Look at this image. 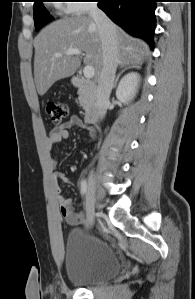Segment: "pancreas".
I'll use <instances>...</instances> for the list:
<instances>
[{"instance_id": "1", "label": "pancreas", "mask_w": 195, "mask_h": 299, "mask_svg": "<svg viewBox=\"0 0 195 299\" xmlns=\"http://www.w3.org/2000/svg\"><path fill=\"white\" fill-rule=\"evenodd\" d=\"M78 95H79L80 106L84 110H87L91 106L92 95H91L90 91L86 87H81L78 90Z\"/></svg>"}]
</instances>
